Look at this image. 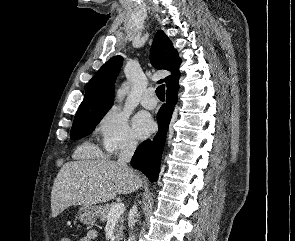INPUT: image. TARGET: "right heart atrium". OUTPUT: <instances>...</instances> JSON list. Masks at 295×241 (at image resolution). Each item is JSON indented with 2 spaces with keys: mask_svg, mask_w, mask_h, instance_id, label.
<instances>
[{
  "mask_svg": "<svg viewBox=\"0 0 295 241\" xmlns=\"http://www.w3.org/2000/svg\"><path fill=\"white\" fill-rule=\"evenodd\" d=\"M93 131L102 150L109 156L132 149L137 144L126 115L117 107L105 111L97 119Z\"/></svg>",
  "mask_w": 295,
  "mask_h": 241,
  "instance_id": "d8ad5b80",
  "label": "right heart atrium"
}]
</instances>
